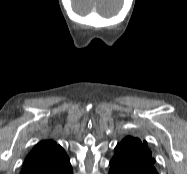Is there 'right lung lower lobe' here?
I'll use <instances>...</instances> for the list:
<instances>
[{
	"label": "right lung lower lobe",
	"mask_w": 187,
	"mask_h": 174,
	"mask_svg": "<svg viewBox=\"0 0 187 174\" xmlns=\"http://www.w3.org/2000/svg\"><path fill=\"white\" fill-rule=\"evenodd\" d=\"M64 174H72V168L70 169V171L65 172Z\"/></svg>",
	"instance_id": "1"
}]
</instances>
